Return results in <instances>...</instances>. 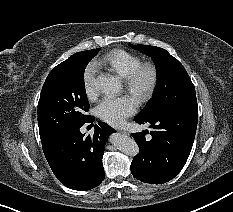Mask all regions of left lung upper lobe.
Segmentation results:
<instances>
[{"label":"left lung upper lobe","instance_id":"obj_1","mask_svg":"<svg viewBox=\"0 0 233 212\" xmlns=\"http://www.w3.org/2000/svg\"><path fill=\"white\" fill-rule=\"evenodd\" d=\"M152 57L157 68V85L153 98L138 116H146L166 108L198 111L194 85L182 64L165 49L132 45Z\"/></svg>","mask_w":233,"mask_h":212}]
</instances>
